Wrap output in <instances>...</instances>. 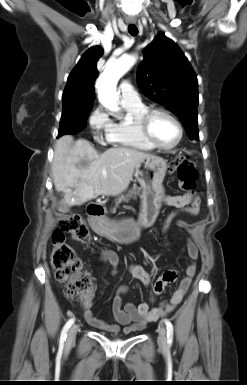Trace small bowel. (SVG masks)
Masks as SVG:
<instances>
[{
  "label": "small bowel",
  "mask_w": 247,
  "mask_h": 385,
  "mask_svg": "<svg viewBox=\"0 0 247 385\" xmlns=\"http://www.w3.org/2000/svg\"><path fill=\"white\" fill-rule=\"evenodd\" d=\"M163 203L167 206L184 209L187 214L192 216L197 215L200 208V199L193 192L182 195H166L163 197ZM177 225L181 228L189 227V223L184 220L178 221ZM185 249L190 262L185 270V276L179 281L176 290L168 301L162 302L155 308H150L148 303L135 305L132 302H127L123 305L122 295L128 292V287L121 285L112 300L113 324L98 319L89 307H86L84 311L85 320L90 325L103 331L118 334L121 331V327H123V332L130 334L142 330L148 323L154 322L170 313L183 299L196 272L198 249L191 240L187 242ZM100 260L112 267L113 275L117 273L116 268L119 264V257L116 252L108 249L103 250L100 254ZM128 269L130 274L141 281L143 285H152L155 296L161 295L165 287L177 279V272L175 270H167L152 284L151 275L142 266L130 264ZM93 296L94 293H92L91 298Z\"/></svg>",
  "instance_id": "c3829d8e"
}]
</instances>
